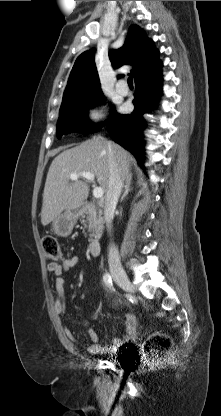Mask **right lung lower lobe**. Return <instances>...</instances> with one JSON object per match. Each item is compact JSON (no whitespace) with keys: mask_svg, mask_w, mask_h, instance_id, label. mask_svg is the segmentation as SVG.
I'll return each mask as SVG.
<instances>
[{"mask_svg":"<svg viewBox=\"0 0 221 416\" xmlns=\"http://www.w3.org/2000/svg\"><path fill=\"white\" fill-rule=\"evenodd\" d=\"M161 85V68L135 80L134 111L127 115H120L114 111L107 123V129L113 140L134 154L141 166L144 163L141 139L142 131L146 126L144 115L157 104Z\"/></svg>","mask_w":221,"mask_h":416,"instance_id":"right-lung-lower-lobe-1","label":"right lung lower lobe"}]
</instances>
